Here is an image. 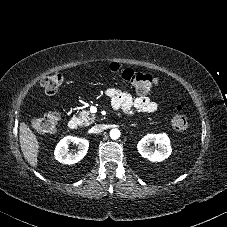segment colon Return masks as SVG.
<instances>
[{"label":"colon","mask_w":227,"mask_h":227,"mask_svg":"<svg viewBox=\"0 0 227 227\" xmlns=\"http://www.w3.org/2000/svg\"><path fill=\"white\" fill-rule=\"evenodd\" d=\"M109 71L141 94L152 91L158 83L157 79L151 74L124 68L117 63L110 64ZM61 83L62 75L60 73L50 74L42 80V86L47 93L57 92ZM174 108L175 114L171 120L172 128L176 131H184L188 127V118L183 112L181 103L176 102ZM59 122L60 115L55 111H51L34 119L32 126L39 133H51L57 129Z\"/></svg>","instance_id":"1"}]
</instances>
